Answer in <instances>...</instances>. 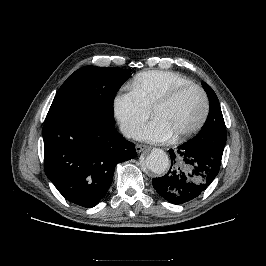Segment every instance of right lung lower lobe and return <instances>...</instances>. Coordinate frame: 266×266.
<instances>
[{
    "label": "right lung lower lobe",
    "instance_id": "1",
    "mask_svg": "<svg viewBox=\"0 0 266 266\" xmlns=\"http://www.w3.org/2000/svg\"><path fill=\"white\" fill-rule=\"evenodd\" d=\"M42 135L47 177L66 200L85 208L106 194L115 166L137 156L114 119L94 110L51 106Z\"/></svg>",
    "mask_w": 266,
    "mask_h": 266
}]
</instances>
